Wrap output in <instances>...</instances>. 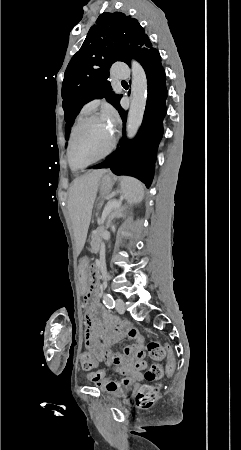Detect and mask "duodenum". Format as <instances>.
<instances>
[{
    "instance_id": "duodenum-1",
    "label": "duodenum",
    "mask_w": 241,
    "mask_h": 450,
    "mask_svg": "<svg viewBox=\"0 0 241 450\" xmlns=\"http://www.w3.org/2000/svg\"><path fill=\"white\" fill-rule=\"evenodd\" d=\"M98 288V280L97 275L95 271H92L90 276V284H89V290L91 293H96Z\"/></svg>"
}]
</instances>
